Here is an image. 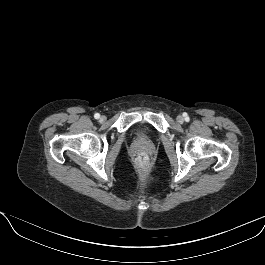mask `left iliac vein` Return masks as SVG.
<instances>
[{"label":"left iliac vein","instance_id":"obj_1","mask_svg":"<svg viewBox=\"0 0 265 265\" xmlns=\"http://www.w3.org/2000/svg\"><path fill=\"white\" fill-rule=\"evenodd\" d=\"M177 121L179 123H183L184 119H183V117L181 115H179V116H177Z\"/></svg>","mask_w":265,"mask_h":265}]
</instances>
